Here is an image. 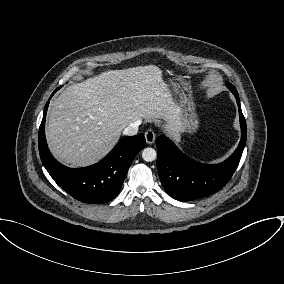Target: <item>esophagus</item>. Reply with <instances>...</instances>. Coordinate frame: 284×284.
<instances>
[{
  "mask_svg": "<svg viewBox=\"0 0 284 284\" xmlns=\"http://www.w3.org/2000/svg\"><path fill=\"white\" fill-rule=\"evenodd\" d=\"M156 135L153 130L149 129L145 132V139L148 144L154 143Z\"/></svg>",
  "mask_w": 284,
  "mask_h": 284,
  "instance_id": "34e87169",
  "label": "esophagus"
}]
</instances>
